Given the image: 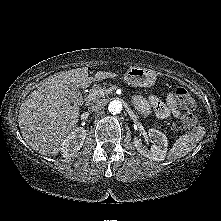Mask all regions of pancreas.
<instances>
[{
  "label": "pancreas",
  "mask_w": 221,
  "mask_h": 221,
  "mask_svg": "<svg viewBox=\"0 0 221 221\" xmlns=\"http://www.w3.org/2000/svg\"><path fill=\"white\" fill-rule=\"evenodd\" d=\"M110 88L113 89V88H115V86H111ZM99 89H107V88H106V86L101 87L100 85H96V86L93 88V91H92L91 93H93L94 91L99 90Z\"/></svg>",
  "instance_id": "1"
}]
</instances>
